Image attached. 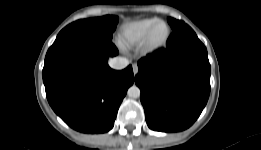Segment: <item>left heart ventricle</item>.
<instances>
[{"instance_id":"obj_1","label":"left heart ventricle","mask_w":261,"mask_h":150,"mask_svg":"<svg viewBox=\"0 0 261 150\" xmlns=\"http://www.w3.org/2000/svg\"><path fill=\"white\" fill-rule=\"evenodd\" d=\"M166 34H167V27L164 24H159L157 25V27L153 32L152 39L156 43L160 42L164 39Z\"/></svg>"}]
</instances>
